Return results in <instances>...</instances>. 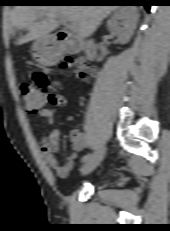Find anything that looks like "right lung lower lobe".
Here are the masks:
<instances>
[{
	"mask_svg": "<svg viewBox=\"0 0 170 231\" xmlns=\"http://www.w3.org/2000/svg\"><path fill=\"white\" fill-rule=\"evenodd\" d=\"M140 2H142V3L139 4V5H143L146 8L147 11L150 10L151 5L149 4L148 0H141Z\"/></svg>",
	"mask_w": 170,
	"mask_h": 231,
	"instance_id": "1",
	"label": "right lung lower lobe"
}]
</instances>
